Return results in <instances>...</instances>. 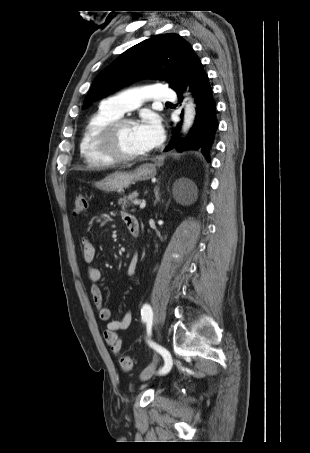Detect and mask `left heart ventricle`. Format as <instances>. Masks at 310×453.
I'll list each match as a JSON object with an SVG mask.
<instances>
[{
  "instance_id": "left-heart-ventricle-1",
  "label": "left heart ventricle",
  "mask_w": 310,
  "mask_h": 453,
  "mask_svg": "<svg viewBox=\"0 0 310 453\" xmlns=\"http://www.w3.org/2000/svg\"><path fill=\"white\" fill-rule=\"evenodd\" d=\"M117 147L122 154L135 155L146 153L141 139L137 134V124H130L122 128L117 138Z\"/></svg>"
}]
</instances>
